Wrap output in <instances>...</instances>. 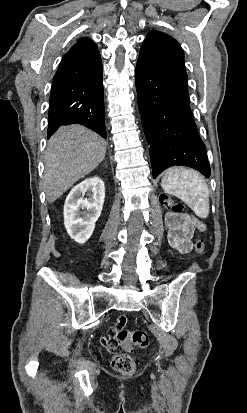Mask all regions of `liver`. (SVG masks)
<instances>
[{
    "instance_id": "6515ba94",
    "label": "liver",
    "mask_w": 247,
    "mask_h": 413,
    "mask_svg": "<svg viewBox=\"0 0 247 413\" xmlns=\"http://www.w3.org/2000/svg\"><path fill=\"white\" fill-rule=\"evenodd\" d=\"M108 142L81 124L60 126L48 140L44 154L43 186L48 202H54L76 180L103 160Z\"/></svg>"
}]
</instances>
